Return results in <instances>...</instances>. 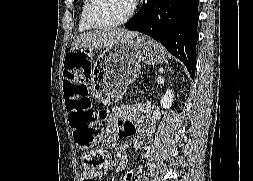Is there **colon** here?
I'll return each instance as SVG.
<instances>
[{
  "label": "colon",
  "instance_id": "1",
  "mask_svg": "<svg viewBox=\"0 0 253 181\" xmlns=\"http://www.w3.org/2000/svg\"><path fill=\"white\" fill-rule=\"evenodd\" d=\"M77 51L78 53L68 54L65 60L64 94L74 141L81 148H89L103 136L102 120L105 114L92 107L84 83L85 77L78 70L79 53H84L85 50L78 48ZM109 160V154L105 150L94 149L84 155L83 166L90 174L98 175L107 168Z\"/></svg>",
  "mask_w": 253,
  "mask_h": 181
}]
</instances>
